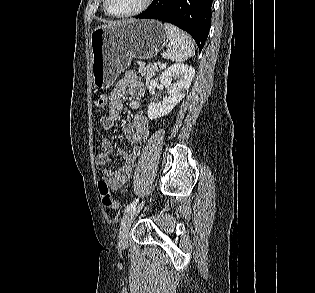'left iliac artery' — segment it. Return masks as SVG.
Returning <instances> with one entry per match:
<instances>
[{"mask_svg":"<svg viewBox=\"0 0 315 293\" xmlns=\"http://www.w3.org/2000/svg\"><path fill=\"white\" fill-rule=\"evenodd\" d=\"M139 202V197L137 199H135L132 203H130L126 209H125V213H127L128 211H130L131 209H133L137 203Z\"/></svg>","mask_w":315,"mask_h":293,"instance_id":"left-iliac-artery-1","label":"left iliac artery"}]
</instances>
